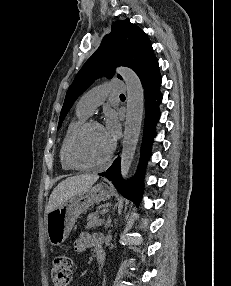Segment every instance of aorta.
<instances>
[{"label": "aorta", "instance_id": "aorta-1", "mask_svg": "<svg viewBox=\"0 0 231 286\" xmlns=\"http://www.w3.org/2000/svg\"><path fill=\"white\" fill-rule=\"evenodd\" d=\"M125 81L127 109L121 153V175L126 179L136 152L144 112V90L137 74L127 67L116 70Z\"/></svg>", "mask_w": 231, "mask_h": 286}]
</instances>
